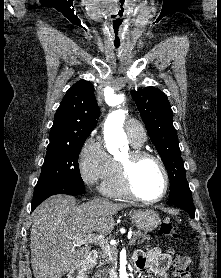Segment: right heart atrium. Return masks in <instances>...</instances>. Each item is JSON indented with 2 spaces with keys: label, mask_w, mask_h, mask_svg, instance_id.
<instances>
[{
  "label": "right heart atrium",
  "mask_w": 221,
  "mask_h": 278,
  "mask_svg": "<svg viewBox=\"0 0 221 278\" xmlns=\"http://www.w3.org/2000/svg\"><path fill=\"white\" fill-rule=\"evenodd\" d=\"M77 164L81 179L89 185L104 181L115 166L114 160L104 149L95 132L84 141Z\"/></svg>",
  "instance_id": "d8ad5b80"
}]
</instances>
